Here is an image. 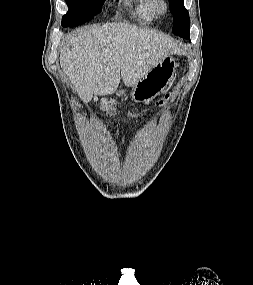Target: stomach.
I'll return each instance as SVG.
<instances>
[{
  "instance_id": "stomach-1",
  "label": "stomach",
  "mask_w": 253,
  "mask_h": 285,
  "mask_svg": "<svg viewBox=\"0 0 253 285\" xmlns=\"http://www.w3.org/2000/svg\"><path fill=\"white\" fill-rule=\"evenodd\" d=\"M177 63L170 55L161 59L146 75L135 85L131 86V97L135 102H148L163 92L171 83ZM124 90L117 92L122 96Z\"/></svg>"
}]
</instances>
